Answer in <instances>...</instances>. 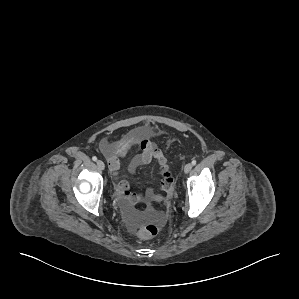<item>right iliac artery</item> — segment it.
Here are the masks:
<instances>
[{
    "label": "right iliac artery",
    "mask_w": 299,
    "mask_h": 299,
    "mask_svg": "<svg viewBox=\"0 0 299 299\" xmlns=\"http://www.w3.org/2000/svg\"><path fill=\"white\" fill-rule=\"evenodd\" d=\"M92 160H93V161H97V157H96V156H93V157H92Z\"/></svg>",
    "instance_id": "right-iliac-artery-1"
}]
</instances>
